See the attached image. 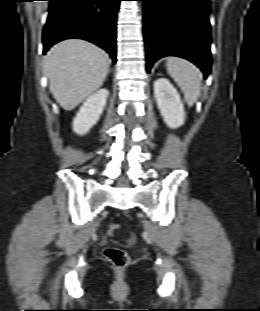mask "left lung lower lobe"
<instances>
[{"label": "left lung lower lobe", "instance_id": "0a47b994", "mask_svg": "<svg viewBox=\"0 0 260 311\" xmlns=\"http://www.w3.org/2000/svg\"><path fill=\"white\" fill-rule=\"evenodd\" d=\"M144 2L146 71L164 56L196 64L207 77L211 70L209 0H140Z\"/></svg>", "mask_w": 260, "mask_h": 311}]
</instances>
